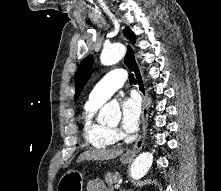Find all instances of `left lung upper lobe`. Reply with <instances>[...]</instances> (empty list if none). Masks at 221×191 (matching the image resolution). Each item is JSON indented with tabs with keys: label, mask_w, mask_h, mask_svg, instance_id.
I'll return each instance as SVG.
<instances>
[{
	"label": "left lung upper lobe",
	"mask_w": 221,
	"mask_h": 191,
	"mask_svg": "<svg viewBox=\"0 0 221 191\" xmlns=\"http://www.w3.org/2000/svg\"><path fill=\"white\" fill-rule=\"evenodd\" d=\"M124 34L132 43H135L136 37L134 33L128 27L125 28ZM92 66H93L92 56L86 57L80 64L75 74V85H76V93L74 97L75 100L79 97L84 85L86 84L88 79L91 77Z\"/></svg>",
	"instance_id": "5c2ea615"
}]
</instances>
